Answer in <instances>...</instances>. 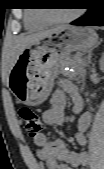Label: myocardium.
Instances as JSON below:
<instances>
[{"label":"myocardium","instance_id":"f54148a6","mask_svg":"<svg viewBox=\"0 0 104 169\" xmlns=\"http://www.w3.org/2000/svg\"><path fill=\"white\" fill-rule=\"evenodd\" d=\"M79 16V12H74L73 14L66 16V17H62V18H52L48 15H41L40 17L45 20L46 22L49 23H54V24H58V23H68L71 22L73 20H75L77 17Z\"/></svg>","mask_w":104,"mask_h":169}]
</instances>
